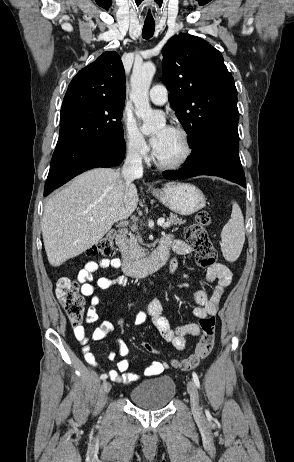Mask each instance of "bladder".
Wrapping results in <instances>:
<instances>
[{
    "label": "bladder",
    "mask_w": 294,
    "mask_h": 462,
    "mask_svg": "<svg viewBox=\"0 0 294 462\" xmlns=\"http://www.w3.org/2000/svg\"><path fill=\"white\" fill-rule=\"evenodd\" d=\"M177 387L169 375L158 376L137 384L130 392V401L145 409H159L167 406L175 397Z\"/></svg>",
    "instance_id": "obj_1"
}]
</instances>
